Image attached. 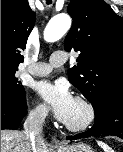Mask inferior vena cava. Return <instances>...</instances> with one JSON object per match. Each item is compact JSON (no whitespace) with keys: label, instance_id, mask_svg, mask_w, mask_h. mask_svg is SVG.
Instances as JSON below:
<instances>
[{"label":"inferior vena cava","instance_id":"inferior-vena-cava-1","mask_svg":"<svg viewBox=\"0 0 123 152\" xmlns=\"http://www.w3.org/2000/svg\"><path fill=\"white\" fill-rule=\"evenodd\" d=\"M46 115L47 112L43 110L32 111L24 122L23 132L31 144L32 152H37L36 144L44 141L42 130Z\"/></svg>","mask_w":123,"mask_h":152}]
</instances>
